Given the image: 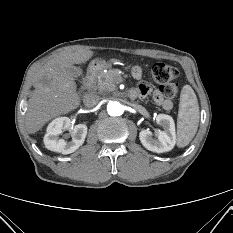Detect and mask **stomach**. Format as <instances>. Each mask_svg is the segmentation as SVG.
<instances>
[{"mask_svg": "<svg viewBox=\"0 0 233 233\" xmlns=\"http://www.w3.org/2000/svg\"><path fill=\"white\" fill-rule=\"evenodd\" d=\"M105 66V61L101 59H94L90 63V69L99 70Z\"/></svg>", "mask_w": 233, "mask_h": 233, "instance_id": "obj_1", "label": "stomach"}]
</instances>
